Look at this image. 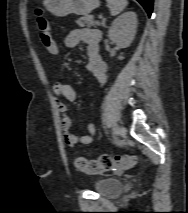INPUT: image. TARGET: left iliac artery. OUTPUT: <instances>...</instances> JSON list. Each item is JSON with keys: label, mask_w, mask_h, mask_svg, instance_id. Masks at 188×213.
Listing matches in <instances>:
<instances>
[{"label": "left iliac artery", "mask_w": 188, "mask_h": 213, "mask_svg": "<svg viewBox=\"0 0 188 213\" xmlns=\"http://www.w3.org/2000/svg\"><path fill=\"white\" fill-rule=\"evenodd\" d=\"M118 134V128L114 127L113 128V135L116 136Z\"/></svg>", "instance_id": "1"}]
</instances>
